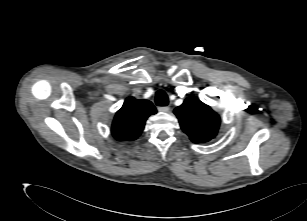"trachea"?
Segmentation results:
<instances>
[{"instance_id": "obj_1", "label": "trachea", "mask_w": 307, "mask_h": 221, "mask_svg": "<svg viewBox=\"0 0 307 221\" xmlns=\"http://www.w3.org/2000/svg\"><path fill=\"white\" fill-rule=\"evenodd\" d=\"M155 103L157 106H167L169 103L168 96L164 90H158L155 95Z\"/></svg>"}]
</instances>
